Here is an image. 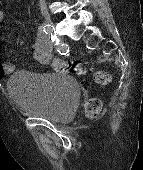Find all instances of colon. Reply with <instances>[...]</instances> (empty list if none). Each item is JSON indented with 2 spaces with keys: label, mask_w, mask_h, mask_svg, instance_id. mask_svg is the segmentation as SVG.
<instances>
[{
  "label": "colon",
  "mask_w": 143,
  "mask_h": 170,
  "mask_svg": "<svg viewBox=\"0 0 143 170\" xmlns=\"http://www.w3.org/2000/svg\"><path fill=\"white\" fill-rule=\"evenodd\" d=\"M56 69L58 71L71 70L74 73H83V67L80 63H74L68 66L64 61H58ZM94 80L99 84H106L110 82L111 77L106 73L97 72L94 74ZM101 109V104L97 99H91L87 102L86 111L90 117L96 116Z\"/></svg>",
  "instance_id": "1"
}]
</instances>
